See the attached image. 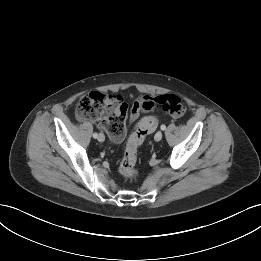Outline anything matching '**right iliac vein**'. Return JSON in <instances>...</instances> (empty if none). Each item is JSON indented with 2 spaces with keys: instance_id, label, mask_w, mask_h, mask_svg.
Wrapping results in <instances>:
<instances>
[{
  "instance_id": "right-iliac-vein-1",
  "label": "right iliac vein",
  "mask_w": 261,
  "mask_h": 261,
  "mask_svg": "<svg viewBox=\"0 0 261 261\" xmlns=\"http://www.w3.org/2000/svg\"><path fill=\"white\" fill-rule=\"evenodd\" d=\"M97 139H98L99 142H103V141L105 140L104 134H103V133H100V134L98 135Z\"/></svg>"
}]
</instances>
